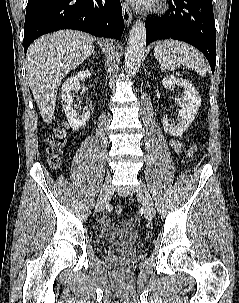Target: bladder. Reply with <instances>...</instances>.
Segmentation results:
<instances>
[{
	"mask_svg": "<svg viewBox=\"0 0 239 303\" xmlns=\"http://www.w3.org/2000/svg\"><path fill=\"white\" fill-rule=\"evenodd\" d=\"M137 233H125L116 236L110 240V243H120L124 245H133L138 241Z\"/></svg>",
	"mask_w": 239,
	"mask_h": 303,
	"instance_id": "obj_1",
	"label": "bladder"
}]
</instances>
